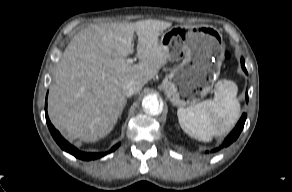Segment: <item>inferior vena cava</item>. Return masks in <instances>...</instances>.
<instances>
[{"mask_svg":"<svg viewBox=\"0 0 292 192\" xmlns=\"http://www.w3.org/2000/svg\"><path fill=\"white\" fill-rule=\"evenodd\" d=\"M123 92H124L126 97H130L137 92V88H136L134 83L126 82L123 85Z\"/></svg>","mask_w":292,"mask_h":192,"instance_id":"602c4592","label":"inferior vena cava"}]
</instances>
